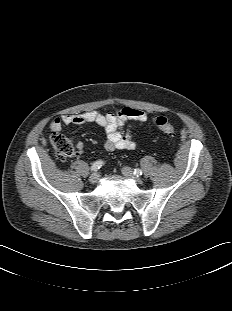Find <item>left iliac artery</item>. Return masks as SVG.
<instances>
[{"instance_id":"44dca946","label":"left iliac artery","mask_w":232,"mask_h":311,"mask_svg":"<svg viewBox=\"0 0 232 311\" xmlns=\"http://www.w3.org/2000/svg\"><path fill=\"white\" fill-rule=\"evenodd\" d=\"M134 175H136L137 177H138V176H141V175H142V170H140V169H135V170H134Z\"/></svg>"}]
</instances>
